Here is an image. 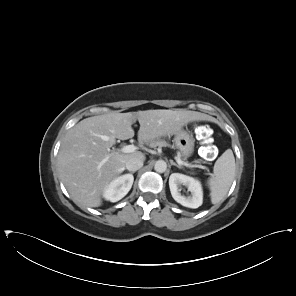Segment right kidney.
<instances>
[{"instance_id":"right-kidney-1","label":"right kidney","mask_w":296,"mask_h":296,"mask_svg":"<svg viewBox=\"0 0 296 296\" xmlns=\"http://www.w3.org/2000/svg\"><path fill=\"white\" fill-rule=\"evenodd\" d=\"M134 177L132 174H124L110 181L103 191V197L110 202L121 200L130 191Z\"/></svg>"}]
</instances>
